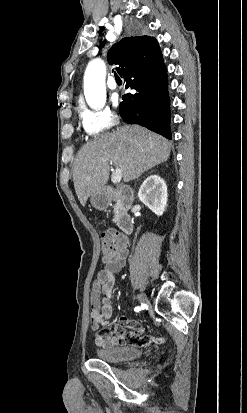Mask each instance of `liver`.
<instances>
[{
  "mask_svg": "<svg viewBox=\"0 0 247 413\" xmlns=\"http://www.w3.org/2000/svg\"><path fill=\"white\" fill-rule=\"evenodd\" d=\"M170 148L167 138L139 124H124L112 132L97 134L81 146L74 160L73 182L81 204L84 207L88 196L102 190L109 180L110 160L121 168L127 182L167 160Z\"/></svg>",
  "mask_w": 247,
  "mask_h": 413,
  "instance_id": "obj_1",
  "label": "liver"
}]
</instances>
